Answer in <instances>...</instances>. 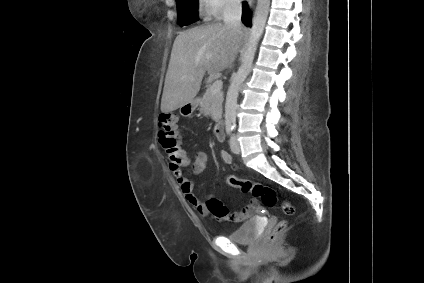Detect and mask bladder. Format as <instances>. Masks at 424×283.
Wrapping results in <instances>:
<instances>
[{"mask_svg": "<svg viewBox=\"0 0 424 283\" xmlns=\"http://www.w3.org/2000/svg\"><path fill=\"white\" fill-rule=\"evenodd\" d=\"M260 231L261 228L258 221L256 219H250L227 235V237L234 243L251 244L259 237Z\"/></svg>", "mask_w": 424, "mask_h": 283, "instance_id": "31cf9c89", "label": "bladder"}]
</instances>
